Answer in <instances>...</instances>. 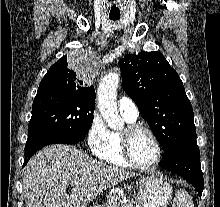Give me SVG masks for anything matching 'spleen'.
Segmentation results:
<instances>
[{
  "instance_id": "spleen-1",
  "label": "spleen",
  "mask_w": 220,
  "mask_h": 207,
  "mask_svg": "<svg viewBox=\"0 0 220 207\" xmlns=\"http://www.w3.org/2000/svg\"><path fill=\"white\" fill-rule=\"evenodd\" d=\"M172 207H194L192 197L183 189L177 191Z\"/></svg>"
}]
</instances>
